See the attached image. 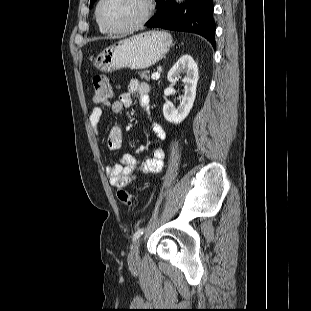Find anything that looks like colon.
Wrapping results in <instances>:
<instances>
[{
    "instance_id": "colon-1",
    "label": "colon",
    "mask_w": 311,
    "mask_h": 311,
    "mask_svg": "<svg viewBox=\"0 0 311 311\" xmlns=\"http://www.w3.org/2000/svg\"><path fill=\"white\" fill-rule=\"evenodd\" d=\"M112 97V88L108 79L104 75H96L93 78V100L95 103L104 105L110 102ZM117 198L121 204L128 208L133 207V198L131 194L124 190L118 189Z\"/></svg>"
}]
</instances>
